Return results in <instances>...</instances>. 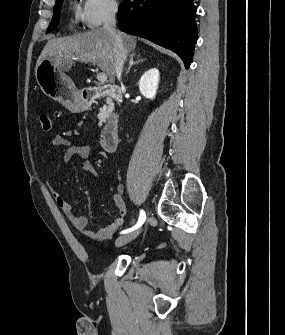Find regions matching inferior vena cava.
<instances>
[{
	"label": "inferior vena cava",
	"mask_w": 285,
	"mask_h": 335,
	"mask_svg": "<svg viewBox=\"0 0 285 335\" xmlns=\"http://www.w3.org/2000/svg\"><path fill=\"white\" fill-rule=\"evenodd\" d=\"M118 6L115 0H107L106 2V14L104 16L103 28L110 32L114 40V68L116 74H121L124 60H126V50L123 44V38L121 32L116 30V14Z\"/></svg>",
	"instance_id": "obj_1"
}]
</instances>
